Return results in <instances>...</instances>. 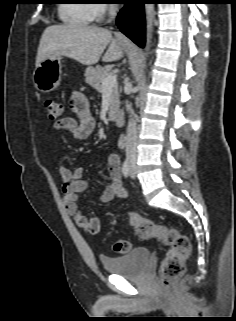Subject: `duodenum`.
<instances>
[{
	"label": "duodenum",
	"instance_id": "duodenum-1",
	"mask_svg": "<svg viewBox=\"0 0 236 321\" xmlns=\"http://www.w3.org/2000/svg\"><path fill=\"white\" fill-rule=\"evenodd\" d=\"M111 119L118 126H122L124 123V115L120 112L113 114Z\"/></svg>",
	"mask_w": 236,
	"mask_h": 321
}]
</instances>
